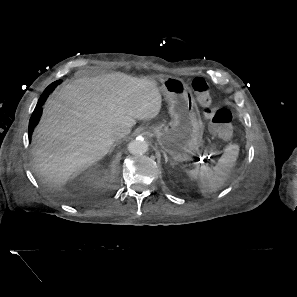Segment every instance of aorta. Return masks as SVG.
<instances>
[{
  "mask_svg": "<svg viewBox=\"0 0 297 297\" xmlns=\"http://www.w3.org/2000/svg\"><path fill=\"white\" fill-rule=\"evenodd\" d=\"M132 155H143L148 151V143L144 139L132 140L127 147Z\"/></svg>",
  "mask_w": 297,
  "mask_h": 297,
  "instance_id": "1",
  "label": "aorta"
}]
</instances>
